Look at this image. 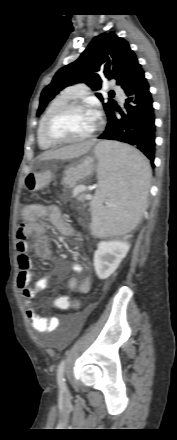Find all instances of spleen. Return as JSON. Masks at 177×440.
Segmentation results:
<instances>
[{
    "label": "spleen",
    "mask_w": 177,
    "mask_h": 440,
    "mask_svg": "<svg viewBox=\"0 0 177 440\" xmlns=\"http://www.w3.org/2000/svg\"><path fill=\"white\" fill-rule=\"evenodd\" d=\"M98 188L91 203L92 234L118 235L133 230L146 209L151 168L145 156L124 144L103 141L95 148ZM103 202L113 204L104 207Z\"/></svg>",
    "instance_id": "spleen-1"
}]
</instances>
